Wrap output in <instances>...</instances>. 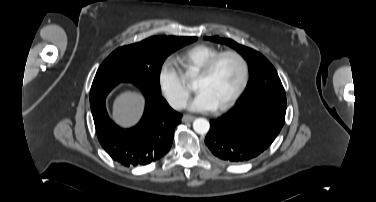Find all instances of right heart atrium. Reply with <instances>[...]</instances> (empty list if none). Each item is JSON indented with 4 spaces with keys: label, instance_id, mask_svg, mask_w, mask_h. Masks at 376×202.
<instances>
[{
    "label": "right heart atrium",
    "instance_id": "right-heart-atrium-1",
    "mask_svg": "<svg viewBox=\"0 0 376 202\" xmlns=\"http://www.w3.org/2000/svg\"><path fill=\"white\" fill-rule=\"evenodd\" d=\"M157 82L161 94L175 109H180L186 104L189 92L181 72L170 59H166L159 67Z\"/></svg>",
    "mask_w": 376,
    "mask_h": 202
}]
</instances>
